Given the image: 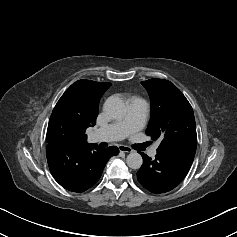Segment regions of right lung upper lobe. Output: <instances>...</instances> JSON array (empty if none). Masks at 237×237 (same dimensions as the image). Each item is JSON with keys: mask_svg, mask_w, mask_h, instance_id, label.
<instances>
[{"mask_svg": "<svg viewBox=\"0 0 237 237\" xmlns=\"http://www.w3.org/2000/svg\"><path fill=\"white\" fill-rule=\"evenodd\" d=\"M110 86L109 82L78 80L57 102L53 111L64 115L75 128L73 144H88L85 130L96 124L100 98Z\"/></svg>", "mask_w": 237, "mask_h": 237, "instance_id": "right-lung-upper-lobe-1", "label": "right lung upper lobe"}]
</instances>
